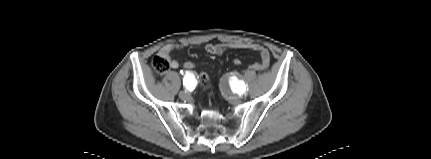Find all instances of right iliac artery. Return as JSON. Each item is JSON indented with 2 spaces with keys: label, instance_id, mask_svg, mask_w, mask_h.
<instances>
[{
  "label": "right iliac artery",
  "instance_id": "obj_1",
  "mask_svg": "<svg viewBox=\"0 0 431 159\" xmlns=\"http://www.w3.org/2000/svg\"><path fill=\"white\" fill-rule=\"evenodd\" d=\"M183 84L187 90L189 91L193 90L196 84L194 75L189 72H186L183 79Z\"/></svg>",
  "mask_w": 431,
  "mask_h": 159
}]
</instances>
